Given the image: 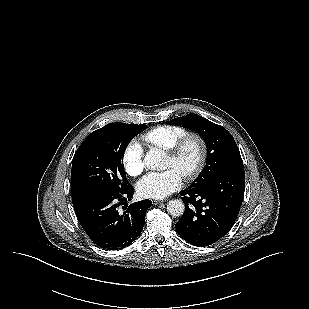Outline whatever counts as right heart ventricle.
Here are the masks:
<instances>
[{"label": "right heart ventricle", "mask_w": 309, "mask_h": 309, "mask_svg": "<svg viewBox=\"0 0 309 309\" xmlns=\"http://www.w3.org/2000/svg\"><path fill=\"white\" fill-rule=\"evenodd\" d=\"M188 131L176 125H161L145 132L141 138L151 148L168 150Z\"/></svg>", "instance_id": "e07e8e85"}]
</instances>
